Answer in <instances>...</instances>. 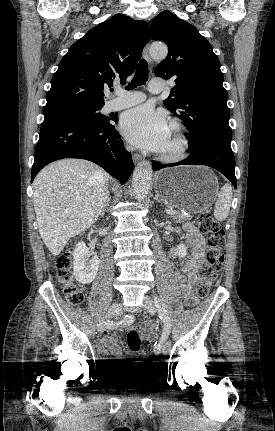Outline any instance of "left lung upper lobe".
I'll return each mask as SVG.
<instances>
[{
    "instance_id": "left-lung-upper-lobe-1",
    "label": "left lung upper lobe",
    "mask_w": 275,
    "mask_h": 431,
    "mask_svg": "<svg viewBox=\"0 0 275 431\" xmlns=\"http://www.w3.org/2000/svg\"><path fill=\"white\" fill-rule=\"evenodd\" d=\"M153 40L168 45V56L155 72L164 79H175L167 109L184 121L190 136L188 146L202 140H229L227 92L218 57L211 44L191 24L171 12H161L150 27Z\"/></svg>"
}]
</instances>
